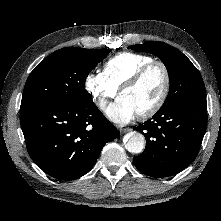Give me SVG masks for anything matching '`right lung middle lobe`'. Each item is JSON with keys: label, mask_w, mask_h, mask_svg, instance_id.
I'll return each mask as SVG.
<instances>
[{"label": "right lung middle lobe", "mask_w": 221, "mask_h": 221, "mask_svg": "<svg viewBox=\"0 0 221 221\" xmlns=\"http://www.w3.org/2000/svg\"><path fill=\"white\" fill-rule=\"evenodd\" d=\"M79 47L59 49L29 75L21 104H83L92 101L84 82L90 71L110 52Z\"/></svg>", "instance_id": "obj_1"}]
</instances>
